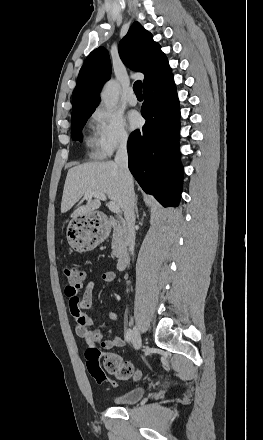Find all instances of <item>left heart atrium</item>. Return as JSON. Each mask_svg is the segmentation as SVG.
Wrapping results in <instances>:
<instances>
[{"instance_id":"1","label":"left heart atrium","mask_w":263,"mask_h":440,"mask_svg":"<svg viewBox=\"0 0 263 440\" xmlns=\"http://www.w3.org/2000/svg\"><path fill=\"white\" fill-rule=\"evenodd\" d=\"M129 127L135 129L141 125V117L137 112H131L128 115Z\"/></svg>"}]
</instances>
